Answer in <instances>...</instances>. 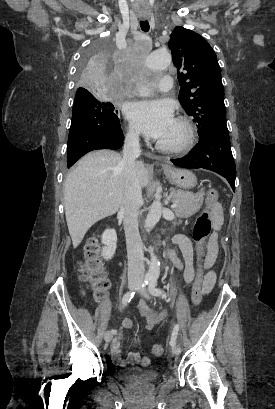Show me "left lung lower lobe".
<instances>
[{
	"label": "left lung lower lobe",
	"instance_id": "1",
	"mask_svg": "<svg viewBox=\"0 0 275 409\" xmlns=\"http://www.w3.org/2000/svg\"><path fill=\"white\" fill-rule=\"evenodd\" d=\"M184 168H204L227 179L235 191L236 167L228 130L216 129L200 137L198 144L184 157L171 160Z\"/></svg>",
	"mask_w": 275,
	"mask_h": 409
}]
</instances>
